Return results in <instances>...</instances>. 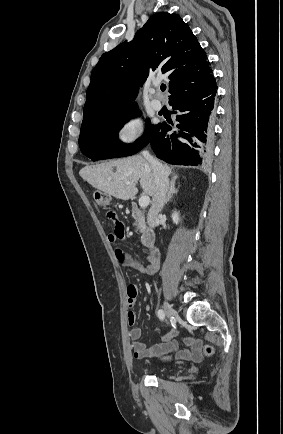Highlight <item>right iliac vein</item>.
Masks as SVG:
<instances>
[{
	"mask_svg": "<svg viewBox=\"0 0 283 434\" xmlns=\"http://www.w3.org/2000/svg\"><path fill=\"white\" fill-rule=\"evenodd\" d=\"M163 309H164V313L167 316V318H175L176 317V312L174 311V309L171 307V305L164 301L163 302Z\"/></svg>",
	"mask_w": 283,
	"mask_h": 434,
	"instance_id": "obj_1",
	"label": "right iliac vein"
}]
</instances>
